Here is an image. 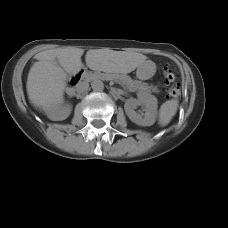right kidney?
Wrapping results in <instances>:
<instances>
[{
	"label": "right kidney",
	"instance_id": "obj_1",
	"mask_svg": "<svg viewBox=\"0 0 228 228\" xmlns=\"http://www.w3.org/2000/svg\"><path fill=\"white\" fill-rule=\"evenodd\" d=\"M71 112V106L69 104L59 106L57 109L48 113V117L53 121L65 120Z\"/></svg>",
	"mask_w": 228,
	"mask_h": 228
}]
</instances>
